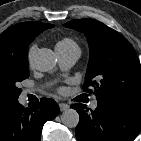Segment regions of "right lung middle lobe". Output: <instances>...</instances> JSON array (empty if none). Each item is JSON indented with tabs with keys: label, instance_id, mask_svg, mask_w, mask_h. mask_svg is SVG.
I'll return each instance as SVG.
<instances>
[{
	"label": "right lung middle lobe",
	"instance_id": "1",
	"mask_svg": "<svg viewBox=\"0 0 141 141\" xmlns=\"http://www.w3.org/2000/svg\"><path fill=\"white\" fill-rule=\"evenodd\" d=\"M28 76L27 56L23 58L0 57V106L18 100L21 93V89L17 87L18 82Z\"/></svg>",
	"mask_w": 141,
	"mask_h": 141
}]
</instances>
